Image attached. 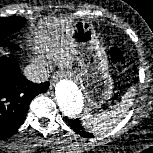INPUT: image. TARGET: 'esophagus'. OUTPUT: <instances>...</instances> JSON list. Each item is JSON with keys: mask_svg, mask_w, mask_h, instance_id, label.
<instances>
[{"mask_svg": "<svg viewBox=\"0 0 153 153\" xmlns=\"http://www.w3.org/2000/svg\"><path fill=\"white\" fill-rule=\"evenodd\" d=\"M58 76H61V77H62V76H66V75H65L64 73H61V74H59ZM58 76H57V77H58ZM57 77H54V79H57ZM51 88H52V87H51Z\"/></svg>", "mask_w": 153, "mask_h": 153, "instance_id": "esophagus-1", "label": "esophagus"}]
</instances>
